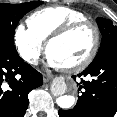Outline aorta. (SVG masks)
I'll return each instance as SVG.
<instances>
[{
  "mask_svg": "<svg viewBox=\"0 0 117 117\" xmlns=\"http://www.w3.org/2000/svg\"><path fill=\"white\" fill-rule=\"evenodd\" d=\"M68 89V84L61 78L53 81L51 90L54 95L58 96L56 102L62 109H69L75 103V97L72 95H63Z\"/></svg>",
  "mask_w": 117,
  "mask_h": 117,
  "instance_id": "762f6f07",
  "label": "aorta"
}]
</instances>
